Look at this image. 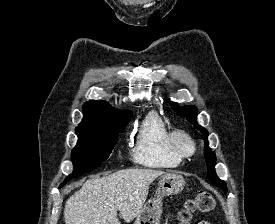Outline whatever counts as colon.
<instances>
[{
	"label": "colon",
	"mask_w": 275,
	"mask_h": 224,
	"mask_svg": "<svg viewBox=\"0 0 275 224\" xmlns=\"http://www.w3.org/2000/svg\"><path fill=\"white\" fill-rule=\"evenodd\" d=\"M214 198L208 192L201 191L187 200L184 208L178 214L179 224H190L193 215L197 212L207 213L214 208Z\"/></svg>",
	"instance_id": "1"
}]
</instances>
